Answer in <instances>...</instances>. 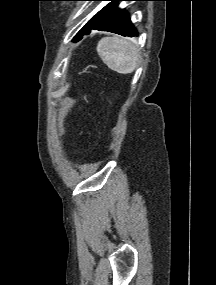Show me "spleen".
<instances>
[{
  "label": "spleen",
  "mask_w": 216,
  "mask_h": 285,
  "mask_svg": "<svg viewBox=\"0 0 216 285\" xmlns=\"http://www.w3.org/2000/svg\"><path fill=\"white\" fill-rule=\"evenodd\" d=\"M97 53L109 69L119 74L132 73L139 59L138 47L129 39L117 36L102 38Z\"/></svg>",
  "instance_id": "3e777b00"
}]
</instances>
